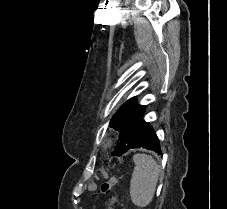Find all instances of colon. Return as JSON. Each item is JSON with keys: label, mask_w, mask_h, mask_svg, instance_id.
Listing matches in <instances>:
<instances>
[{"label": "colon", "mask_w": 227, "mask_h": 209, "mask_svg": "<svg viewBox=\"0 0 227 209\" xmlns=\"http://www.w3.org/2000/svg\"><path fill=\"white\" fill-rule=\"evenodd\" d=\"M117 178L115 177H111L109 178L108 180L104 181L101 185V191L102 192H108L110 190H113L115 188V186L117 185ZM92 197H96L97 194L96 193H93L91 194Z\"/></svg>", "instance_id": "5ec220e1"}]
</instances>
